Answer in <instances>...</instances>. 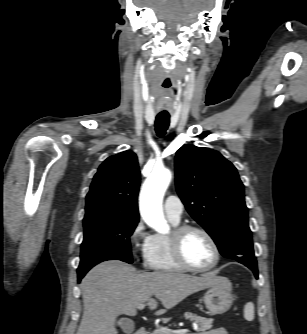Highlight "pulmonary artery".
Listing matches in <instances>:
<instances>
[{"label":"pulmonary artery","instance_id":"e3ab8cb5","mask_svg":"<svg viewBox=\"0 0 307 334\" xmlns=\"http://www.w3.org/2000/svg\"><path fill=\"white\" fill-rule=\"evenodd\" d=\"M165 215L174 223H178L183 212V204L178 196L170 195L164 202Z\"/></svg>","mask_w":307,"mask_h":334}]
</instances>
